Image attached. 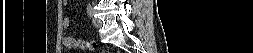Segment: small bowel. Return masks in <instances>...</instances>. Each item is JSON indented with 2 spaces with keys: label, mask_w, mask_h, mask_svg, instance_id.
<instances>
[{
  "label": "small bowel",
  "mask_w": 253,
  "mask_h": 53,
  "mask_svg": "<svg viewBox=\"0 0 253 53\" xmlns=\"http://www.w3.org/2000/svg\"><path fill=\"white\" fill-rule=\"evenodd\" d=\"M63 28L67 29L69 27V20L68 18H65L63 20ZM64 45L68 48V49H73V48H79L78 47V40L76 38H74L71 35H65L64 37Z\"/></svg>",
  "instance_id": "small-bowel-1"
}]
</instances>
